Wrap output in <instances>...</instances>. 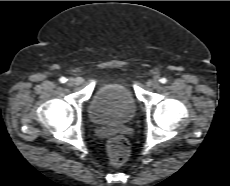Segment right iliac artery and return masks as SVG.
Returning a JSON list of instances; mask_svg holds the SVG:
<instances>
[{"instance_id":"1","label":"right iliac artery","mask_w":230,"mask_h":186,"mask_svg":"<svg viewBox=\"0 0 230 186\" xmlns=\"http://www.w3.org/2000/svg\"><path fill=\"white\" fill-rule=\"evenodd\" d=\"M59 80L61 83H65L67 81V79L65 77H61Z\"/></svg>"}]
</instances>
